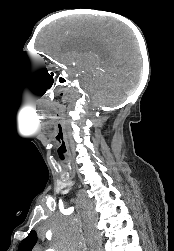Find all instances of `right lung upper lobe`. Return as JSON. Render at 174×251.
<instances>
[{
  "instance_id": "obj_1",
  "label": "right lung upper lobe",
  "mask_w": 174,
  "mask_h": 251,
  "mask_svg": "<svg viewBox=\"0 0 174 251\" xmlns=\"http://www.w3.org/2000/svg\"><path fill=\"white\" fill-rule=\"evenodd\" d=\"M37 242L36 232L33 230L29 235L20 243L18 251H31Z\"/></svg>"
}]
</instances>
